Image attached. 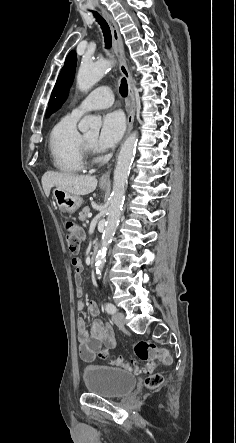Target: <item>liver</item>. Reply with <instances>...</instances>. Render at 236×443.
<instances>
[{"mask_svg":"<svg viewBox=\"0 0 236 443\" xmlns=\"http://www.w3.org/2000/svg\"><path fill=\"white\" fill-rule=\"evenodd\" d=\"M97 179L94 176L74 175L69 173H59L47 171L42 176L43 190L48 197L52 187L64 190L74 195H87L93 192L97 187Z\"/></svg>","mask_w":236,"mask_h":443,"instance_id":"1","label":"liver"}]
</instances>
